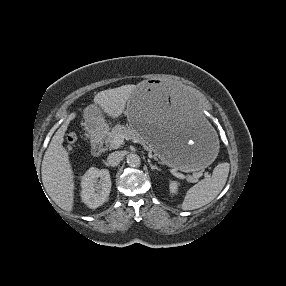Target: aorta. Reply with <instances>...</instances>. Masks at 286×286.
I'll list each match as a JSON object with an SVG mask.
<instances>
[{
    "label": "aorta",
    "mask_w": 286,
    "mask_h": 286,
    "mask_svg": "<svg viewBox=\"0 0 286 286\" xmlns=\"http://www.w3.org/2000/svg\"><path fill=\"white\" fill-rule=\"evenodd\" d=\"M127 164L131 167H138L141 164V159L137 154L131 153L126 158Z\"/></svg>",
    "instance_id": "aorta-1"
}]
</instances>
